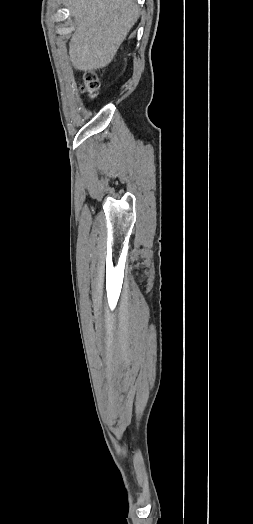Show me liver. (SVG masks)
Returning <instances> with one entry per match:
<instances>
[{"label":"liver","instance_id":"1","mask_svg":"<svg viewBox=\"0 0 253 524\" xmlns=\"http://www.w3.org/2000/svg\"><path fill=\"white\" fill-rule=\"evenodd\" d=\"M75 19L69 57L75 69L106 67L139 17L135 0H65Z\"/></svg>","mask_w":253,"mask_h":524}]
</instances>
